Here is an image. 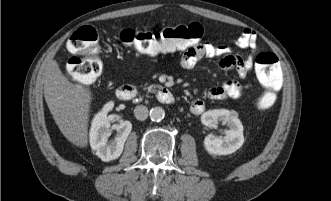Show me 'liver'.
Instances as JSON below:
<instances>
[{"mask_svg": "<svg viewBox=\"0 0 331 201\" xmlns=\"http://www.w3.org/2000/svg\"><path fill=\"white\" fill-rule=\"evenodd\" d=\"M43 81L45 101L61 133L74 145L87 147L90 90L72 84L56 60L44 67Z\"/></svg>", "mask_w": 331, "mask_h": 201, "instance_id": "6515ba94", "label": "liver"}]
</instances>
